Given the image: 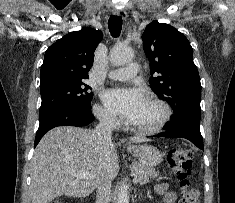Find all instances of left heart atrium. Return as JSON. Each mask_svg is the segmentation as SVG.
Segmentation results:
<instances>
[{"label":"left heart atrium","instance_id":"39dd6f15","mask_svg":"<svg viewBox=\"0 0 235 203\" xmlns=\"http://www.w3.org/2000/svg\"><path fill=\"white\" fill-rule=\"evenodd\" d=\"M103 101L109 111L131 122L147 99L139 88L132 87L109 89L104 92Z\"/></svg>","mask_w":235,"mask_h":203}]
</instances>
